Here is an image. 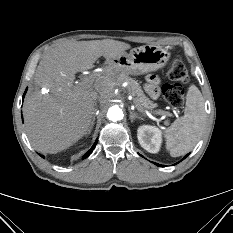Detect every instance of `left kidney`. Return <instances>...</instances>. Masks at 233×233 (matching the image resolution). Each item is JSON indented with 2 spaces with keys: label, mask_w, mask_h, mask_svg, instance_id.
Returning <instances> with one entry per match:
<instances>
[{
  "label": "left kidney",
  "mask_w": 233,
  "mask_h": 233,
  "mask_svg": "<svg viewBox=\"0 0 233 233\" xmlns=\"http://www.w3.org/2000/svg\"><path fill=\"white\" fill-rule=\"evenodd\" d=\"M140 145L150 153H157L162 143V133L155 126L143 125L137 130Z\"/></svg>",
  "instance_id": "obj_1"
}]
</instances>
